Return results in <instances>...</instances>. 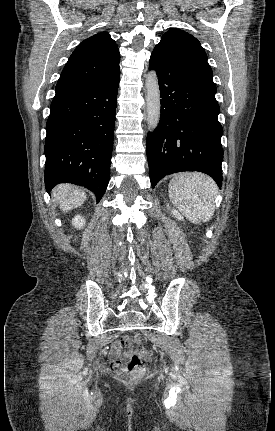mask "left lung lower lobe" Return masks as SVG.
<instances>
[{
    "instance_id": "obj_1",
    "label": "left lung lower lobe",
    "mask_w": 275,
    "mask_h": 431,
    "mask_svg": "<svg viewBox=\"0 0 275 431\" xmlns=\"http://www.w3.org/2000/svg\"><path fill=\"white\" fill-rule=\"evenodd\" d=\"M149 67L157 72L162 97L159 125L146 141L152 188L165 175L181 171L206 173L221 188L223 128L215 95L156 47Z\"/></svg>"
}]
</instances>
